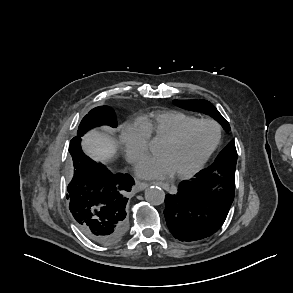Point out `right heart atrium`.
Masks as SVG:
<instances>
[{
    "label": "right heart atrium",
    "instance_id": "1",
    "mask_svg": "<svg viewBox=\"0 0 293 293\" xmlns=\"http://www.w3.org/2000/svg\"><path fill=\"white\" fill-rule=\"evenodd\" d=\"M119 138L126 158L132 163L137 162L149 150V134L139 123L123 126Z\"/></svg>",
    "mask_w": 293,
    "mask_h": 293
}]
</instances>
